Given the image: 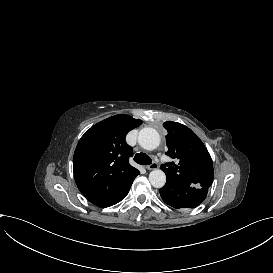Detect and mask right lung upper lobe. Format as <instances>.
<instances>
[{"label":"right lung upper lobe","instance_id":"right-lung-upper-lobe-1","mask_svg":"<svg viewBox=\"0 0 273 273\" xmlns=\"http://www.w3.org/2000/svg\"><path fill=\"white\" fill-rule=\"evenodd\" d=\"M141 124L131 116L115 115L92 126L79 140L73 158L74 178L93 204L108 207L128 194L140 172L128 162L132 149L125 137Z\"/></svg>","mask_w":273,"mask_h":273}]
</instances>
